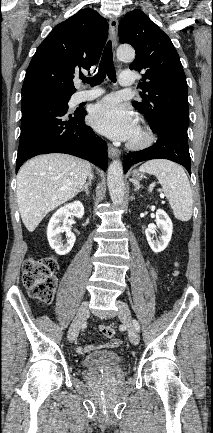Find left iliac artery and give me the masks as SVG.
<instances>
[{"mask_svg": "<svg viewBox=\"0 0 213 433\" xmlns=\"http://www.w3.org/2000/svg\"><path fill=\"white\" fill-rule=\"evenodd\" d=\"M133 325H134L135 329L137 330V332H139L140 331V325H139L137 320H133Z\"/></svg>", "mask_w": 213, "mask_h": 433, "instance_id": "44dca946", "label": "left iliac artery"}]
</instances>
